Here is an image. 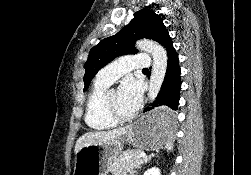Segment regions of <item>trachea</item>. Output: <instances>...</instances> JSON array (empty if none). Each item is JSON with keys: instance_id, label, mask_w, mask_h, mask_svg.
<instances>
[{"instance_id": "trachea-1", "label": "trachea", "mask_w": 251, "mask_h": 175, "mask_svg": "<svg viewBox=\"0 0 251 175\" xmlns=\"http://www.w3.org/2000/svg\"><path fill=\"white\" fill-rule=\"evenodd\" d=\"M143 72H149L148 68H143Z\"/></svg>"}]
</instances>
